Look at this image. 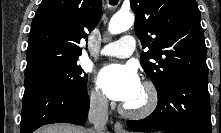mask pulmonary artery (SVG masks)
Instances as JSON below:
<instances>
[{
	"label": "pulmonary artery",
	"instance_id": "obj_1",
	"mask_svg": "<svg viewBox=\"0 0 221 133\" xmlns=\"http://www.w3.org/2000/svg\"><path fill=\"white\" fill-rule=\"evenodd\" d=\"M135 40L132 36L125 35L119 41L111 42L104 46L100 52L102 56L127 58L135 49Z\"/></svg>",
	"mask_w": 221,
	"mask_h": 133
}]
</instances>
